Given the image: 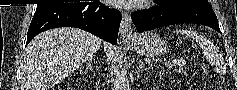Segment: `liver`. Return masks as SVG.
Wrapping results in <instances>:
<instances>
[{
    "instance_id": "6515ba94",
    "label": "liver",
    "mask_w": 237,
    "mask_h": 90,
    "mask_svg": "<svg viewBox=\"0 0 237 90\" xmlns=\"http://www.w3.org/2000/svg\"><path fill=\"white\" fill-rule=\"evenodd\" d=\"M101 44L107 62H110L113 46L84 30L55 28L38 34L24 52L22 90L54 88L55 84L68 78L69 74L93 58Z\"/></svg>"
}]
</instances>
